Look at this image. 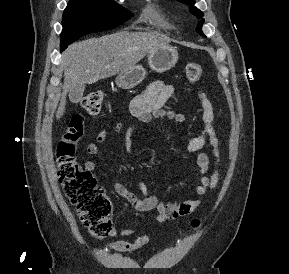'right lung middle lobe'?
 Wrapping results in <instances>:
<instances>
[{"label": "right lung middle lobe", "mask_w": 289, "mask_h": 274, "mask_svg": "<svg viewBox=\"0 0 289 274\" xmlns=\"http://www.w3.org/2000/svg\"><path fill=\"white\" fill-rule=\"evenodd\" d=\"M131 17L112 0H70L63 13L61 51L81 35L112 29Z\"/></svg>", "instance_id": "right-lung-middle-lobe-1"}]
</instances>
